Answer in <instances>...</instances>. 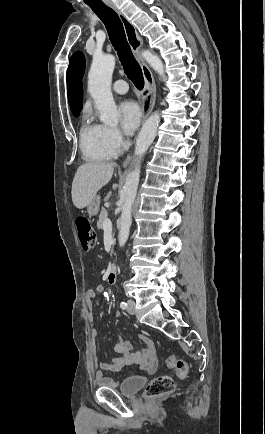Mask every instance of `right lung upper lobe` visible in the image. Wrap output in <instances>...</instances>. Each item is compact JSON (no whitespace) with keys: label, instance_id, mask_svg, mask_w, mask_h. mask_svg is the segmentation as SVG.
I'll return each instance as SVG.
<instances>
[{"label":"right lung upper lobe","instance_id":"right-lung-upper-lobe-1","mask_svg":"<svg viewBox=\"0 0 265 434\" xmlns=\"http://www.w3.org/2000/svg\"><path fill=\"white\" fill-rule=\"evenodd\" d=\"M85 71V57L82 52H75L69 61L67 70V90L70 106L82 104L83 84L81 82Z\"/></svg>","mask_w":265,"mask_h":434}]
</instances>
